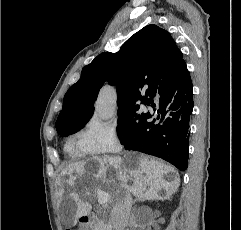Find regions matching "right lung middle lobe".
Listing matches in <instances>:
<instances>
[{"instance_id":"dd1d6c3e","label":"right lung middle lobe","mask_w":241,"mask_h":230,"mask_svg":"<svg viewBox=\"0 0 241 230\" xmlns=\"http://www.w3.org/2000/svg\"><path fill=\"white\" fill-rule=\"evenodd\" d=\"M146 104V103H145ZM147 112H142L140 106L121 107L118 109V136L121 143H124L130 134L135 132L147 119ZM86 123L73 128L58 131L62 136H68L79 131Z\"/></svg>"}]
</instances>
